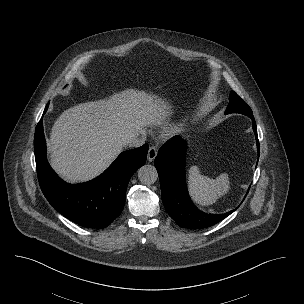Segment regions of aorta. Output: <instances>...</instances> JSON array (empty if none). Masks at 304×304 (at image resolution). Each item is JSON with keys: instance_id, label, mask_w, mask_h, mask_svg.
Listing matches in <instances>:
<instances>
[{"instance_id": "762f6f07", "label": "aorta", "mask_w": 304, "mask_h": 304, "mask_svg": "<svg viewBox=\"0 0 304 304\" xmlns=\"http://www.w3.org/2000/svg\"><path fill=\"white\" fill-rule=\"evenodd\" d=\"M138 179L142 184L151 185L158 179V173L153 165H144L138 170Z\"/></svg>"}]
</instances>
